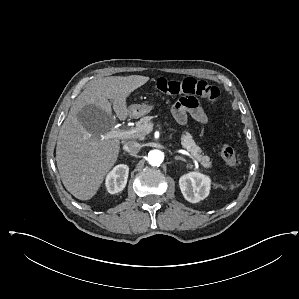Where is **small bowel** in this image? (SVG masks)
Returning a JSON list of instances; mask_svg holds the SVG:
<instances>
[{
  "label": "small bowel",
  "instance_id": "obj_1",
  "mask_svg": "<svg viewBox=\"0 0 299 299\" xmlns=\"http://www.w3.org/2000/svg\"><path fill=\"white\" fill-rule=\"evenodd\" d=\"M172 115L175 120L184 125L187 122V114L200 123L205 124L208 120L207 114L194 97H182L172 106Z\"/></svg>",
  "mask_w": 299,
  "mask_h": 299
}]
</instances>
